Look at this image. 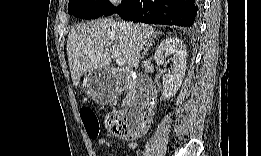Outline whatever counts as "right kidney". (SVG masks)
Here are the masks:
<instances>
[{"instance_id":"ca27d5eb","label":"right kidney","mask_w":261,"mask_h":156,"mask_svg":"<svg viewBox=\"0 0 261 156\" xmlns=\"http://www.w3.org/2000/svg\"><path fill=\"white\" fill-rule=\"evenodd\" d=\"M173 54V69L163 76V98L170 99L179 90L186 72L187 52L177 37H169L158 46L154 60L158 65L166 63V57Z\"/></svg>"}]
</instances>
